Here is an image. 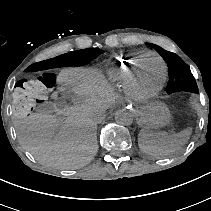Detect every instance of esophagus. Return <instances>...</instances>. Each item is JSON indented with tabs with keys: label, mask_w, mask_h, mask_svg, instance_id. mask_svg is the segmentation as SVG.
Returning <instances> with one entry per match:
<instances>
[{
	"label": "esophagus",
	"mask_w": 211,
	"mask_h": 211,
	"mask_svg": "<svg viewBox=\"0 0 211 211\" xmlns=\"http://www.w3.org/2000/svg\"><path fill=\"white\" fill-rule=\"evenodd\" d=\"M123 107L128 112H131V111L136 112L139 109L138 104L134 102H129V101L124 102Z\"/></svg>",
	"instance_id": "1"
}]
</instances>
